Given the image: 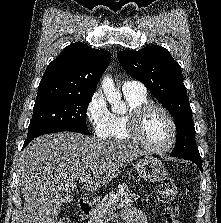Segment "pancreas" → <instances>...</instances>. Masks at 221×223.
<instances>
[{"instance_id": "pancreas-1", "label": "pancreas", "mask_w": 221, "mask_h": 223, "mask_svg": "<svg viewBox=\"0 0 221 223\" xmlns=\"http://www.w3.org/2000/svg\"><path fill=\"white\" fill-rule=\"evenodd\" d=\"M122 187L123 191L119 198L112 200L111 196H106L98 203L93 210L88 223H108L109 216L116 209V206H118V208H126L133 205L134 201L138 199V196L132 194L128 190L127 185L123 184ZM117 202H119L118 205Z\"/></svg>"}]
</instances>
